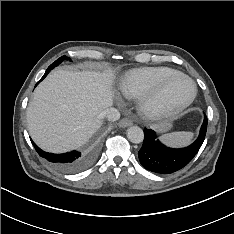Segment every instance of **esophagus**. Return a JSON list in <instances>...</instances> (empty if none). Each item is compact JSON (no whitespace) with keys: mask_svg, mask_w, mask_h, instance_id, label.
<instances>
[{"mask_svg":"<svg viewBox=\"0 0 234 234\" xmlns=\"http://www.w3.org/2000/svg\"><path fill=\"white\" fill-rule=\"evenodd\" d=\"M132 124H133V120L130 118H122L118 123L119 127H121V128L128 127Z\"/></svg>","mask_w":234,"mask_h":234,"instance_id":"obj_1","label":"esophagus"}]
</instances>
